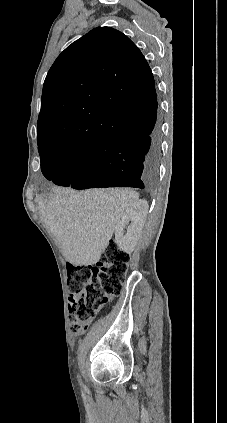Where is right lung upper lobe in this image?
<instances>
[{"label": "right lung upper lobe", "mask_w": 227, "mask_h": 423, "mask_svg": "<svg viewBox=\"0 0 227 423\" xmlns=\"http://www.w3.org/2000/svg\"><path fill=\"white\" fill-rule=\"evenodd\" d=\"M155 90L139 48L110 27L91 30L55 60L44 82L37 141H57L88 150L102 138L129 127L106 108L145 100Z\"/></svg>", "instance_id": "right-lung-upper-lobe-1"}]
</instances>
